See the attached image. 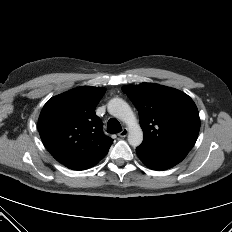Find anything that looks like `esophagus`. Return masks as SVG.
Returning a JSON list of instances; mask_svg holds the SVG:
<instances>
[{"mask_svg": "<svg viewBox=\"0 0 232 232\" xmlns=\"http://www.w3.org/2000/svg\"><path fill=\"white\" fill-rule=\"evenodd\" d=\"M127 134H128V129H127V128H124V129L118 134V136L124 138V137L127 136Z\"/></svg>", "mask_w": 232, "mask_h": 232, "instance_id": "obj_1", "label": "esophagus"}]
</instances>
